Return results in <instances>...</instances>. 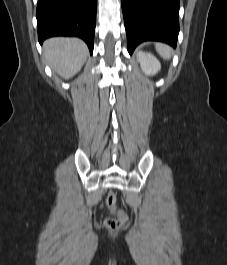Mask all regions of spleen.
I'll return each mask as SVG.
<instances>
[{
    "label": "spleen",
    "instance_id": "spleen-1",
    "mask_svg": "<svg viewBox=\"0 0 227 265\" xmlns=\"http://www.w3.org/2000/svg\"><path fill=\"white\" fill-rule=\"evenodd\" d=\"M156 51L159 55L164 59H170L172 55V49L166 44L163 43H156L155 44Z\"/></svg>",
    "mask_w": 227,
    "mask_h": 265
}]
</instances>
